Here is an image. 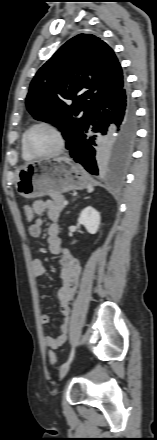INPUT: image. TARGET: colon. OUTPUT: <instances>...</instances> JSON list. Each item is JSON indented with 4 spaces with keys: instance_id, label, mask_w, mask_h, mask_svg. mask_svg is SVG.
Returning a JSON list of instances; mask_svg holds the SVG:
<instances>
[{
    "instance_id": "obj_1",
    "label": "colon",
    "mask_w": 157,
    "mask_h": 440,
    "mask_svg": "<svg viewBox=\"0 0 157 440\" xmlns=\"http://www.w3.org/2000/svg\"><path fill=\"white\" fill-rule=\"evenodd\" d=\"M23 212H24V216H25L27 221L31 222V221L34 220L35 213H34V211H33L31 206L25 205L24 208H23ZM48 360H49L51 365H54L56 363L57 357H56L55 352L50 351L48 353Z\"/></svg>"
}]
</instances>
